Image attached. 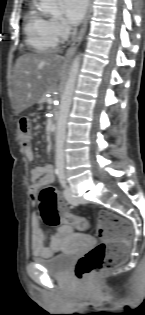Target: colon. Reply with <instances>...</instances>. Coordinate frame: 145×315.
Returning <instances> with one entry per match:
<instances>
[{"instance_id":"5ec220e1","label":"colon","mask_w":145,"mask_h":315,"mask_svg":"<svg viewBox=\"0 0 145 315\" xmlns=\"http://www.w3.org/2000/svg\"><path fill=\"white\" fill-rule=\"evenodd\" d=\"M19 127L22 142L28 146L32 138V122L29 117H21ZM40 213L43 221L50 226L65 223L79 230L89 227L87 220L69 213L58 192L44 186L39 191ZM98 234L101 242L83 255L75 266L79 280L90 282L102 273L117 267L125 258L132 237L130 223L114 212L104 210L98 217Z\"/></svg>"}]
</instances>
